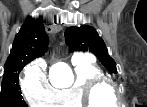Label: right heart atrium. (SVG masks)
<instances>
[{
    "label": "right heart atrium",
    "mask_w": 147,
    "mask_h": 107,
    "mask_svg": "<svg viewBox=\"0 0 147 107\" xmlns=\"http://www.w3.org/2000/svg\"><path fill=\"white\" fill-rule=\"evenodd\" d=\"M22 92L31 106H44L49 104L55 89L49 83L45 66L33 62L25 71L21 80Z\"/></svg>",
    "instance_id": "obj_1"
}]
</instances>
